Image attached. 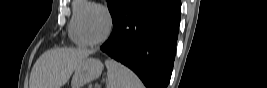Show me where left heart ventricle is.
Returning a JSON list of instances; mask_svg holds the SVG:
<instances>
[{"label": "left heart ventricle", "mask_w": 267, "mask_h": 88, "mask_svg": "<svg viewBox=\"0 0 267 88\" xmlns=\"http://www.w3.org/2000/svg\"><path fill=\"white\" fill-rule=\"evenodd\" d=\"M83 26L87 38L91 41H97L103 37L106 31L105 15L100 10L92 9L87 14Z\"/></svg>", "instance_id": "obj_1"}]
</instances>
